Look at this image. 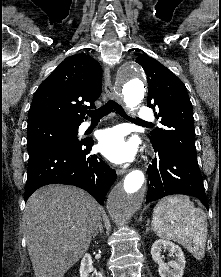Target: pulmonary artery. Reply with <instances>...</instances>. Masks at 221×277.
<instances>
[{"instance_id":"1","label":"pulmonary artery","mask_w":221,"mask_h":277,"mask_svg":"<svg viewBox=\"0 0 221 277\" xmlns=\"http://www.w3.org/2000/svg\"><path fill=\"white\" fill-rule=\"evenodd\" d=\"M138 118L145 121V122H148V121L153 119V113L149 108L141 107L139 112H138ZM89 126H90V123H85L83 125V128L86 129Z\"/></svg>"}]
</instances>
